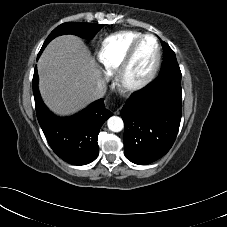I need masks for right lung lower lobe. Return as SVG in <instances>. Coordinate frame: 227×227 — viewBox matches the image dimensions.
I'll return each mask as SVG.
<instances>
[{
  "instance_id": "1",
  "label": "right lung lower lobe",
  "mask_w": 227,
  "mask_h": 227,
  "mask_svg": "<svg viewBox=\"0 0 227 227\" xmlns=\"http://www.w3.org/2000/svg\"><path fill=\"white\" fill-rule=\"evenodd\" d=\"M40 54L39 52L38 57ZM33 94L39 124L52 150L61 159L73 165H85L94 161L99 154L97 141L100 128L112 116L105 108L104 99L93 102L74 116L57 117L41 99L36 68L33 76Z\"/></svg>"
}]
</instances>
